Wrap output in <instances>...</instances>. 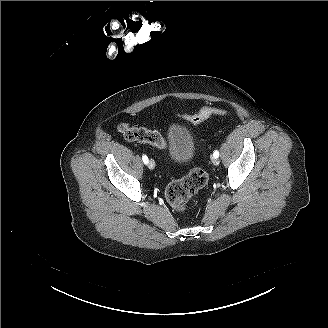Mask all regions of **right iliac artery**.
Instances as JSON below:
<instances>
[{"mask_svg": "<svg viewBox=\"0 0 328 328\" xmlns=\"http://www.w3.org/2000/svg\"><path fill=\"white\" fill-rule=\"evenodd\" d=\"M144 164L148 163V157L146 155H143L142 157Z\"/></svg>", "mask_w": 328, "mask_h": 328, "instance_id": "82829eb1", "label": "right iliac artery"}]
</instances>
